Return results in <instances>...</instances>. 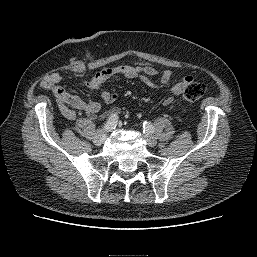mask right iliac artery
<instances>
[{"mask_svg": "<svg viewBox=\"0 0 257 257\" xmlns=\"http://www.w3.org/2000/svg\"><path fill=\"white\" fill-rule=\"evenodd\" d=\"M118 121V116L117 114H112L109 119L107 120L105 126H104V130L105 131H111L112 129H114L116 127Z\"/></svg>", "mask_w": 257, "mask_h": 257, "instance_id": "obj_1", "label": "right iliac artery"}]
</instances>
